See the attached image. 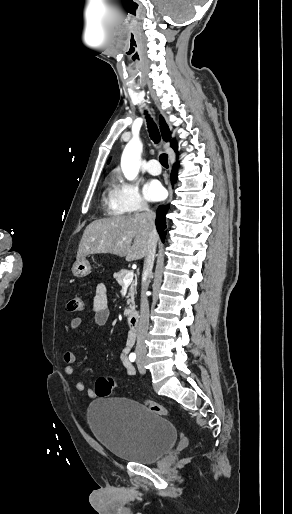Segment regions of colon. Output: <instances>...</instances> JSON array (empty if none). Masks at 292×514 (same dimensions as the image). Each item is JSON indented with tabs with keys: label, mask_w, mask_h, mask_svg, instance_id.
Masks as SVG:
<instances>
[{
	"label": "colon",
	"mask_w": 292,
	"mask_h": 514,
	"mask_svg": "<svg viewBox=\"0 0 292 514\" xmlns=\"http://www.w3.org/2000/svg\"><path fill=\"white\" fill-rule=\"evenodd\" d=\"M84 309L83 299L80 295H76L71 298L67 303L65 310L67 313L81 312ZM115 387L114 379L110 376H100L97 378L94 386L95 393L102 399H106L111 396V391ZM145 405L148 410L160 416L170 415L169 410L161 404H158L152 400H145Z\"/></svg>",
	"instance_id": "obj_1"
}]
</instances>
